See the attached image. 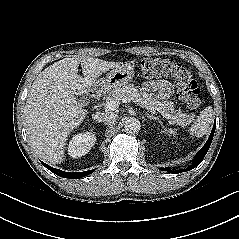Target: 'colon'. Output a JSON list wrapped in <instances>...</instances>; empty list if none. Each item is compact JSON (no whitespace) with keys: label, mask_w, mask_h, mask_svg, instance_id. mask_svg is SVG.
<instances>
[{"label":"colon","mask_w":239,"mask_h":239,"mask_svg":"<svg viewBox=\"0 0 239 239\" xmlns=\"http://www.w3.org/2000/svg\"><path fill=\"white\" fill-rule=\"evenodd\" d=\"M138 69L145 77L171 78L181 99L191 110L201 105L200 89L192 74L181 64L169 59H145L138 64Z\"/></svg>","instance_id":"5ec220e1"}]
</instances>
